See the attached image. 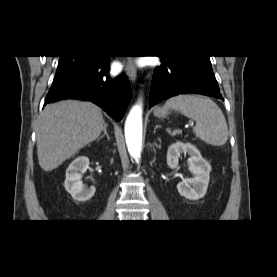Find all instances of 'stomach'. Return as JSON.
I'll use <instances>...</instances> for the list:
<instances>
[{"mask_svg": "<svg viewBox=\"0 0 277 277\" xmlns=\"http://www.w3.org/2000/svg\"><path fill=\"white\" fill-rule=\"evenodd\" d=\"M169 109L170 108H164V107H160V108H156L154 111L155 116H165L167 114H169Z\"/></svg>", "mask_w": 277, "mask_h": 277, "instance_id": "stomach-1", "label": "stomach"}]
</instances>
